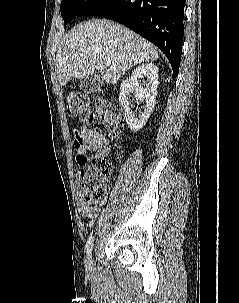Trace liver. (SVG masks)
<instances>
[{
  "instance_id": "1",
  "label": "liver",
  "mask_w": 239,
  "mask_h": 303,
  "mask_svg": "<svg viewBox=\"0 0 239 303\" xmlns=\"http://www.w3.org/2000/svg\"><path fill=\"white\" fill-rule=\"evenodd\" d=\"M158 58L155 47L130 29L108 20H92L71 29L57 51L56 71L62 86L95 69L106 83L116 84L134 65Z\"/></svg>"
}]
</instances>
